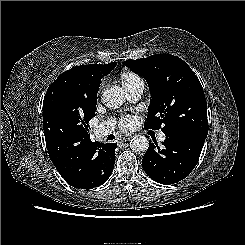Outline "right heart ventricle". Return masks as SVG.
Returning a JSON list of instances; mask_svg holds the SVG:
<instances>
[{"instance_id":"e07e8e85","label":"right heart ventricle","mask_w":245,"mask_h":245,"mask_svg":"<svg viewBox=\"0 0 245 245\" xmlns=\"http://www.w3.org/2000/svg\"><path fill=\"white\" fill-rule=\"evenodd\" d=\"M120 79H121L122 84L124 85L125 89L131 87L136 82L141 80L140 77L133 72H123L120 76Z\"/></svg>"}]
</instances>
